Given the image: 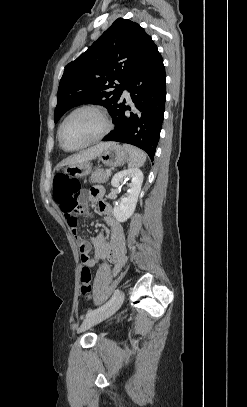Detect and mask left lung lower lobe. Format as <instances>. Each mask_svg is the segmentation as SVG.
Masks as SVG:
<instances>
[{"mask_svg":"<svg viewBox=\"0 0 247 407\" xmlns=\"http://www.w3.org/2000/svg\"><path fill=\"white\" fill-rule=\"evenodd\" d=\"M133 105L120 99L111 113L114 130L103 141H117L143 149L153 161L162 129L166 75L163 59L156 49L141 69L127 82Z\"/></svg>","mask_w":247,"mask_h":407,"instance_id":"obj_1","label":"left lung lower lobe"}]
</instances>
